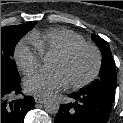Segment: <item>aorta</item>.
<instances>
[{
    "instance_id": "1",
    "label": "aorta",
    "mask_w": 123,
    "mask_h": 123,
    "mask_svg": "<svg viewBox=\"0 0 123 123\" xmlns=\"http://www.w3.org/2000/svg\"><path fill=\"white\" fill-rule=\"evenodd\" d=\"M60 108V104L55 99H48L44 103V109L49 114H56L58 113Z\"/></svg>"
}]
</instances>
